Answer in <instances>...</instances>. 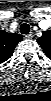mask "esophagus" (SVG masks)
Returning <instances> with one entry per match:
<instances>
[{
  "label": "esophagus",
  "mask_w": 51,
  "mask_h": 101,
  "mask_svg": "<svg viewBox=\"0 0 51 101\" xmlns=\"http://www.w3.org/2000/svg\"><path fill=\"white\" fill-rule=\"evenodd\" d=\"M33 36H34V34L32 32H30V33L25 35V38L31 39V38H33Z\"/></svg>",
  "instance_id": "1"
}]
</instances>
